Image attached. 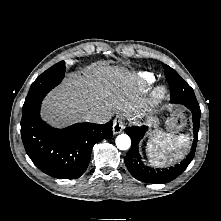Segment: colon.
Returning <instances> with one entry per match:
<instances>
[{
    "label": "colon",
    "mask_w": 221,
    "mask_h": 221,
    "mask_svg": "<svg viewBox=\"0 0 221 221\" xmlns=\"http://www.w3.org/2000/svg\"><path fill=\"white\" fill-rule=\"evenodd\" d=\"M184 122L183 113L181 111H176L174 118L170 123V128L172 130H178Z\"/></svg>",
    "instance_id": "1"
}]
</instances>
